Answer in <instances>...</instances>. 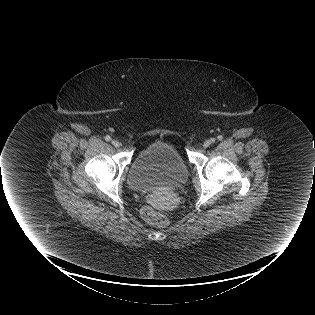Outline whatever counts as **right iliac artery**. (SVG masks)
Returning <instances> with one entry per match:
<instances>
[{
  "mask_svg": "<svg viewBox=\"0 0 315 315\" xmlns=\"http://www.w3.org/2000/svg\"><path fill=\"white\" fill-rule=\"evenodd\" d=\"M105 140H106V141H110V140H111V137H110L109 135H107V136L105 137Z\"/></svg>",
  "mask_w": 315,
  "mask_h": 315,
  "instance_id": "right-iliac-artery-1",
  "label": "right iliac artery"
}]
</instances>
